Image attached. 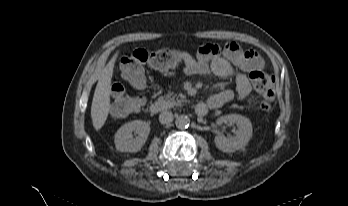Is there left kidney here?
<instances>
[{"label":"left kidney","mask_w":348,"mask_h":206,"mask_svg":"<svg viewBox=\"0 0 348 206\" xmlns=\"http://www.w3.org/2000/svg\"><path fill=\"white\" fill-rule=\"evenodd\" d=\"M222 123L236 124L238 129L235 131L234 137L227 138L221 134L215 137V145L219 150L234 152L247 145L252 137V124L248 118L238 114H230L217 120L218 125Z\"/></svg>","instance_id":"5707ae66"}]
</instances>
